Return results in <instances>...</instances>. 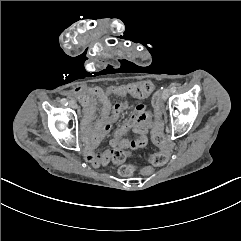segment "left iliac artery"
I'll use <instances>...</instances> for the list:
<instances>
[{
    "mask_svg": "<svg viewBox=\"0 0 241 241\" xmlns=\"http://www.w3.org/2000/svg\"><path fill=\"white\" fill-rule=\"evenodd\" d=\"M176 89H177V87L175 85H172L170 88V91L173 93L176 91Z\"/></svg>",
    "mask_w": 241,
    "mask_h": 241,
    "instance_id": "obj_1",
    "label": "left iliac artery"
}]
</instances>
